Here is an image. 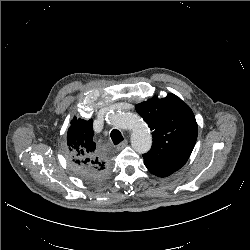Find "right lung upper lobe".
<instances>
[{
  "label": "right lung upper lobe",
  "mask_w": 250,
  "mask_h": 250,
  "mask_svg": "<svg viewBox=\"0 0 250 250\" xmlns=\"http://www.w3.org/2000/svg\"><path fill=\"white\" fill-rule=\"evenodd\" d=\"M67 155L82 170L109 169V160L96 149L92 119L73 118L67 134Z\"/></svg>",
  "instance_id": "right-lung-upper-lobe-1"
}]
</instances>
